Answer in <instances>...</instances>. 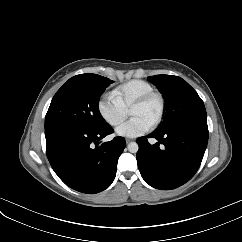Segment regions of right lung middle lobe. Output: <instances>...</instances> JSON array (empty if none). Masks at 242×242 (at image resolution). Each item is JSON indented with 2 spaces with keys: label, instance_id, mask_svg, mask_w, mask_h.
I'll use <instances>...</instances> for the list:
<instances>
[{
  "label": "right lung middle lobe",
  "instance_id": "right-lung-middle-lobe-1",
  "mask_svg": "<svg viewBox=\"0 0 242 242\" xmlns=\"http://www.w3.org/2000/svg\"><path fill=\"white\" fill-rule=\"evenodd\" d=\"M112 80L97 74L70 78L54 95L45 117V129L61 124H77L103 129L109 124L102 118L98 103Z\"/></svg>",
  "mask_w": 242,
  "mask_h": 242
}]
</instances>
